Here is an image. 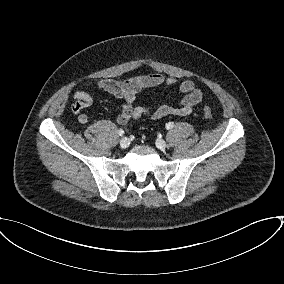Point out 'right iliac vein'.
Segmentation results:
<instances>
[{"instance_id":"63e3f726","label":"right iliac vein","mask_w":284,"mask_h":284,"mask_svg":"<svg viewBox=\"0 0 284 284\" xmlns=\"http://www.w3.org/2000/svg\"><path fill=\"white\" fill-rule=\"evenodd\" d=\"M129 145H130V140H129V138H127V137H124V138H122L121 140H120V147L121 148H127V147H129Z\"/></svg>"}]
</instances>
